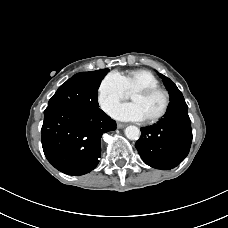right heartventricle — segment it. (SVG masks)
<instances>
[{
	"instance_id": "right-heart-ventricle-1",
	"label": "right heart ventricle",
	"mask_w": 228,
	"mask_h": 228,
	"mask_svg": "<svg viewBox=\"0 0 228 228\" xmlns=\"http://www.w3.org/2000/svg\"><path fill=\"white\" fill-rule=\"evenodd\" d=\"M126 92H133L142 87H158V79L148 70L134 69L119 74Z\"/></svg>"
}]
</instances>
